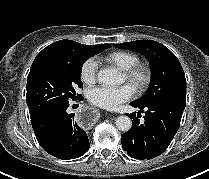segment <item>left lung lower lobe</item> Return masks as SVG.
Instances as JSON below:
<instances>
[{"label": "left lung lower lobe", "mask_w": 209, "mask_h": 179, "mask_svg": "<svg viewBox=\"0 0 209 179\" xmlns=\"http://www.w3.org/2000/svg\"><path fill=\"white\" fill-rule=\"evenodd\" d=\"M145 112L144 123L140 122L141 114H129L133 119L132 128L121 135L123 149L132 158L152 159L162 154L177 133L186 97H173L158 100L146 105L130 103Z\"/></svg>", "instance_id": "left-lung-lower-lobe-1"}]
</instances>
